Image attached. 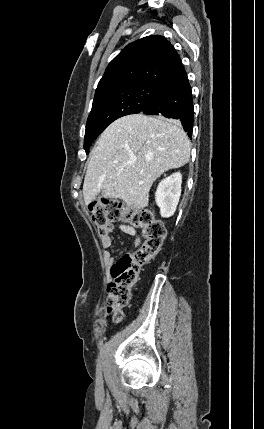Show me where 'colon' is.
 <instances>
[{"label":"colon","mask_w":264,"mask_h":429,"mask_svg":"<svg viewBox=\"0 0 264 429\" xmlns=\"http://www.w3.org/2000/svg\"><path fill=\"white\" fill-rule=\"evenodd\" d=\"M119 219H126L140 228L144 241L135 251L124 254L111 266L107 311L115 322L122 320L123 309L131 300L142 268L156 256L166 235L164 224L148 210L130 211L118 200H104L92 209V221L99 232L109 222Z\"/></svg>","instance_id":"colon-1"}]
</instances>
